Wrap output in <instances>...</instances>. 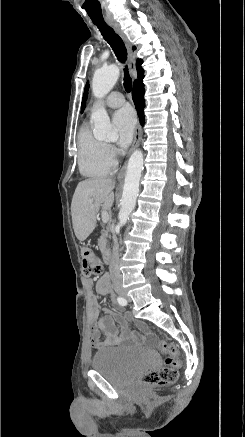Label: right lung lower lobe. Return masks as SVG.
Masks as SVG:
<instances>
[{
    "mask_svg": "<svg viewBox=\"0 0 245 437\" xmlns=\"http://www.w3.org/2000/svg\"><path fill=\"white\" fill-rule=\"evenodd\" d=\"M132 98L141 121V125L144 124V84L142 79L134 82V87L132 91Z\"/></svg>",
    "mask_w": 245,
    "mask_h": 437,
    "instance_id": "98d812e1",
    "label": "right lung lower lobe"
}]
</instances>
